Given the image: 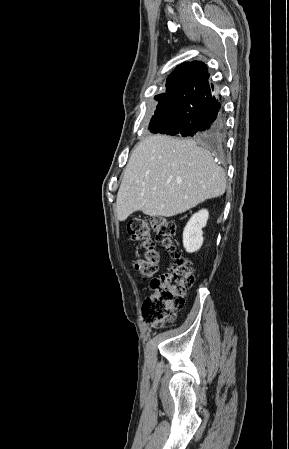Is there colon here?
<instances>
[{"label":"colon","mask_w":289,"mask_h":449,"mask_svg":"<svg viewBox=\"0 0 289 449\" xmlns=\"http://www.w3.org/2000/svg\"><path fill=\"white\" fill-rule=\"evenodd\" d=\"M127 229L131 239L143 249L134 261V269L143 279L151 280L152 292L144 300L143 317L152 326L161 328L174 319L176 311L185 303L186 291L194 283L192 263L174 242L176 224L173 220L159 216L135 218L128 223ZM151 232L172 256L170 267L160 278H154L158 253L150 239Z\"/></svg>","instance_id":"colon-1"}]
</instances>
